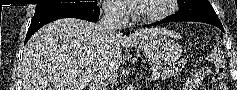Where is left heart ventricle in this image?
<instances>
[{
  "instance_id": "1",
  "label": "left heart ventricle",
  "mask_w": 237,
  "mask_h": 90,
  "mask_svg": "<svg viewBox=\"0 0 237 90\" xmlns=\"http://www.w3.org/2000/svg\"><path fill=\"white\" fill-rule=\"evenodd\" d=\"M164 2L165 0L138 1L136 6L145 14H156L164 7Z\"/></svg>"
}]
</instances>
